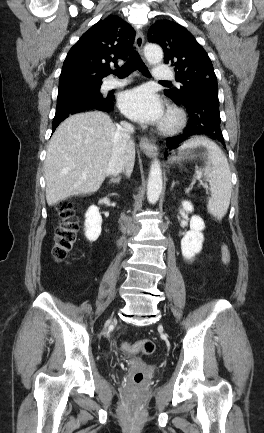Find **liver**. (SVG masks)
Listing matches in <instances>:
<instances>
[{"label": "liver", "mask_w": 264, "mask_h": 433, "mask_svg": "<svg viewBox=\"0 0 264 433\" xmlns=\"http://www.w3.org/2000/svg\"><path fill=\"white\" fill-rule=\"evenodd\" d=\"M116 126L100 111L70 116L54 132L45 159L46 200L54 206L71 196L99 190L116 151ZM135 144L129 141L125 173L134 167Z\"/></svg>", "instance_id": "6515ba94"}]
</instances>
